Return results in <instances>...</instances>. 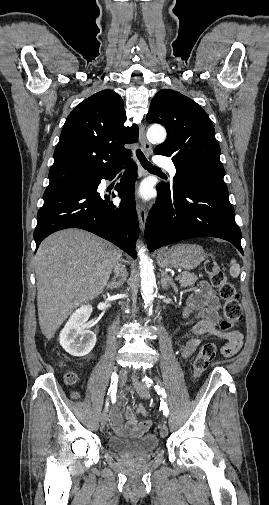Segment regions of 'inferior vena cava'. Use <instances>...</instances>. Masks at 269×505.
I'll return each instance as SVG.
<instances>
[{
  "label": "inferior vena cava",
  "mask_w": 269,
  "mask_h": 505,
  "mask_svg": "<svg viewBox=\"0 0 269 505\" xmlns=\"http://www.w3.org/2000/svg\"><path fill=\"white\" fill-rule=\"evenodd\" d=\"M115 273L117 276H124L126 277V268L124 265H121L120 263L117 262L115 266Z\"/></svg>",
  "instance_id": "inferior-vena-cava-1"
}]
</instances>
